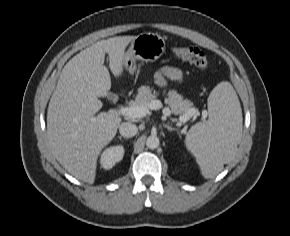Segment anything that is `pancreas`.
Instances as JSON below:
<instances>
[{"label":"pancreas","instance_id":"cf45deb5","mask_svg":"<svg viewBox=\"0 0 290 236\" xmlns=\"http://www.w3.org/2000/svg\"><path fill=\"white\" fill-rule=\"evenodd\" d=\"M158 95L159 93L153 91L149 86H141L138 89L135 100L130 102V106L148 105L151 101L155 100ZM165 103L168 104L171 113L175 115H184L191 109L198 112L197 109L193 107V103L190 100H184L175 90L168 92Z\"/></svg>","mask_w":290,"mask_h":236}]
</instances>
